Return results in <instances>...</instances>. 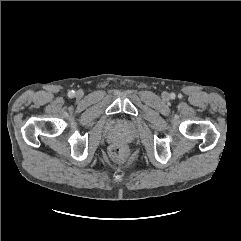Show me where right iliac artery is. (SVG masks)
Here are the masks:
<instances>
[{
	"label": "right iliac artery",
	"instance_id": "obj_1",
	"mask_svg": "<svg viewBox=\"0 0 241 241\" xmlns=\"http://www.w3.org/2000/svg\"><path fill=\"white\" fill-rule=\"evenodd\" d=\"M68 96L71 97V98L74 97L75 96V91H73V90L69 91L68 92Z\"/></svg>",
	"mask_w": 241,
	"mask_h": 241
}]
</instances>
